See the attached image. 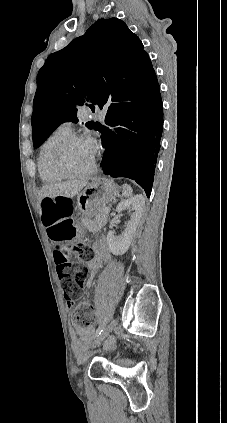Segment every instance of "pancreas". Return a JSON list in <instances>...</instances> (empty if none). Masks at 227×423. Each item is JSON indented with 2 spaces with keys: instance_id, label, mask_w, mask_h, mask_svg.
Instances as JSON below:
<instances>
[{
  "instance_id": "pancreas-1",
  "label": "pancreas",
  "mask_w": 227,
  "mask_h": 423,
  "mask_svg": "<svg viewBox=\"0 0 227 423\" xmlns=\"http://www.w3.org/2000/svg\"><path fill=\"white\" fill-rule=\"evenodd\" d=\"M105 204L104 206H99L97 208L98 211L95 213V219H90V217H85V215H81L80 223L83 229H89V231H95V229H100L102 225H105L108 217V211H105Z\"/></svg>"
}]
</instances>
